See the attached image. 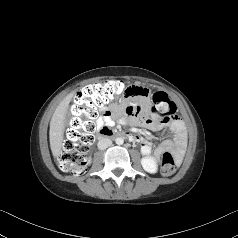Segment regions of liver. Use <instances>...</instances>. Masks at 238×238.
<instances>
[{"instance_id": "liver-1", "label": "liver", "mask_w": 238, "mask_h": 238, "mask_svg": "<svg viewBox=\"0 0 238 238\" xmlns=\"http://www.w3.org/2000/svg\"><path fill=\"white\" fill-rule=\"evenodd\" d=\"M74 93L68 94L57 106L50 121V147L54 157H59L61 154L63 135H64V121L67 110Z\"/></svg>"}]
</instances>
